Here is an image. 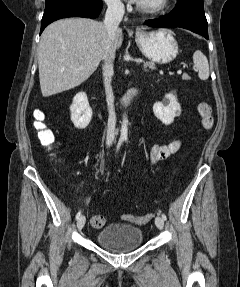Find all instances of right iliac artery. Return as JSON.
<instances>
[{
  "label": "right iliac artery",
  "mask_w": 240,
  "mask_h": 287,
  "mask_svg": "<svg viewBox=\"0 0 240 287\" xmlns=\"http://www.w3.org/2000/svg\"><path fill=\"white\" fill-rule=\"evenodd\" d=\"M121 144H122V141L120 140V141L118 142V145H117V151L119 150ZM80 216H81V211H79V212L76 214V220H78Z\"/></svg>",
  "instance_id": "1"
}]
</instances>
